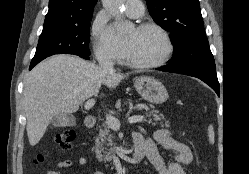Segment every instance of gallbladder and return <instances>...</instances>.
Masks as SVG:
<instances>
[{"mask_svg": "<svg viewBox=\"0 0 249 174\" xmlns=\"http://www.w3.org/2000/svg\"><path fill=\"white\" fill-rule=\"evenodd\" d=\"M75 123L76 119L72 114H58L51 120L54 127L73 126Z\"/></svg>", "mask_w": 249, "mask_h": 174, "instance_id": "obj_1", "label": "gallbladder"}]
</instances>
